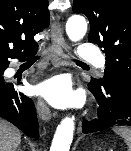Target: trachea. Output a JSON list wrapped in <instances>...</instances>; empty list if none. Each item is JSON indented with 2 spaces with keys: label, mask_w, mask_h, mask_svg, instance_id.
Masks as SVG:
<instances>
[{
  "label": "trachea",
  "mask_w": 131,
  "mask_h": 151,
  "mask_svg": "<svg viewBox=\"0 0 131 151\" xmlns=\"http://www.w3.org/2000/svg\"><path fill=\"white\" fill-rule=\"evenodd\" d=\"M40 56H34V57H32V60H36V59H38ZM77 62H79V63H81L80 61H78V60H76Z\"/></svg>",
  "instance_id": "1"
}]
</instances>
